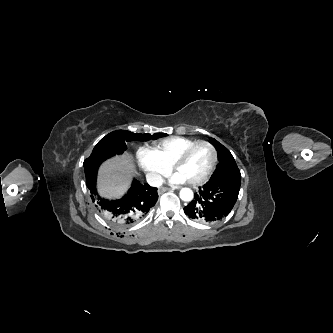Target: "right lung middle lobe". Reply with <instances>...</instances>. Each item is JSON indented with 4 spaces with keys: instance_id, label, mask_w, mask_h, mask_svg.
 Segmentation results:
<instances>
[{
    "instance_id": "1",
    "label": "right lung middle lobe",
    "mask_w": 333,
    "mask_h": 333,
    "mask_svg": "<svg viewBox=\"0 0 333 333\" xmlns=\"http://www.w3.org/2000/svg\"><path fill=\"white\" fill-rule=\"evenodd\" d=\"M167 136L165 133L150 134H135L129 131L117 130L109 133L102 138L94 147L90 157L97 156H113L120 154L126 150V142L135 139H157L159 137Z\"/></svg>"
}]
</instances>
